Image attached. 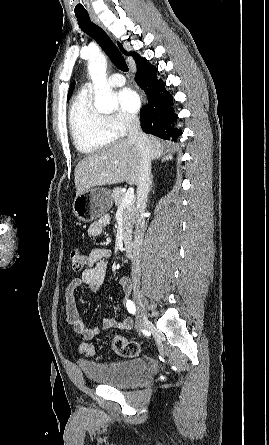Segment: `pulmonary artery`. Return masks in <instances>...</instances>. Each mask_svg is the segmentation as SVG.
I'll return each instance as SVG.
<instances>
[{
	"label": "pulmonary artery",
	"mask_w": 269,
	"mask_h": 445,
	"mask_svg": "<svg viewBox=\"0 0 269 445\" xmlns=\"http://www.w3.org/2000/svg\"><path fill=\"white\" fill-rule=\"evenodd\" d=\"M108 83L112 87H120L125 84V78L119 73H114L108 78ZM86 88H91V84L87 83Z\"/></svg>",
	"instance_id": "pulmonary-artery-1"
}]
</instances>
